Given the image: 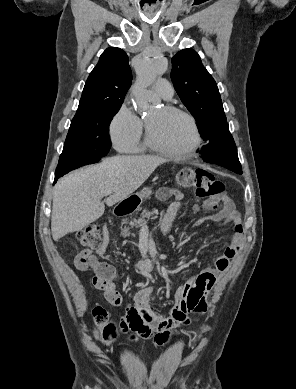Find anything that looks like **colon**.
<instances>
[{
  "instance_id": "5ec220e1",
  "label": "colon",
  "mask_w": 296,
  "mask_h": 389,
  "mask_svg": "<svg viewBox=\"0 0 296 389\" xmlns=\"http://www.w3.org/2000/svg\"><path fill=\"white\" fill-rule=\"evenodd\" d=\"M176 182L182 187L194 188L196 197L210 207L218 206L225 198L224 184L204 169L183 168L176 174ZM76 238L81 245L89 248L100 247L103 244V234L96 224H89L79 230ZM78 263L84 264V259L79 258ZM93 319L97 326L98 339L109 342L116 337L117 327L109 321L104 308H95Z\"/></svg>"
}]
</instances>
